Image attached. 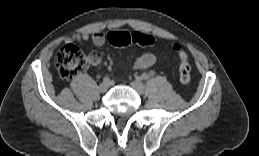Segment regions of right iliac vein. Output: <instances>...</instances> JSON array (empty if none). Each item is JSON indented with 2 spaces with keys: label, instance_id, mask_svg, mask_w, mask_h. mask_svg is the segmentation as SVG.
<instances>
[{
  "label": "right iliac vein",
  "instance_id": "63e3f726",
  "mask_svg": "<svg viewBox=\"0 0 259 156\" xmlns=\"http://www.w3.org/2000/svg\"><path fill=\"white\" fill-rule=\"evenodd\" d=\"M109 88V83L108 82H103L99 85L98 89L101 93H104L108 90Z\"/></svg>",
  "mask_w": 259,
  "mask_h": 156
}]
</instances>
